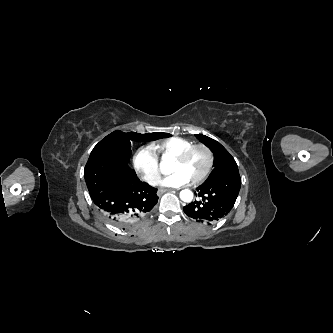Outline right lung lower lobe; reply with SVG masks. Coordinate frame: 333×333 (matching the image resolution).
I'll return each instance as SVG.
<instances>
[{
    "label": "right lung lower lobe",
    "instance_id": "obj_1",
    "mask_svg": "<svg viewBox=\"0 0 333 333\" xmlns=\"http://www.w3.org/2000/svg\"><path fill=\"white\" fill-rule=\"evenodd\" d=\"M84 177L93 202L105 219L119 228L135 224L157 203V189L141 182L125 162L88 160Z\"/></svg>",
    "mask_w": 333,
    "mask_h": 333
}]
</instances>
